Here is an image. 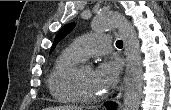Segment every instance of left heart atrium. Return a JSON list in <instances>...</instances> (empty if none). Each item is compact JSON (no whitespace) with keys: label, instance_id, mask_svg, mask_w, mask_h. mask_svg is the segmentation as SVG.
Masks as SVG:
<instances>
[{"label":"left heart atrium","instance_id":"1","mask_svg":"<svg viewBox=\"0 0 171 110\" xmlns=\"http://www.w3.org/2000/svg\"><path fill=\"white\" fill-rule=\"evenodd\" d=\"M120 70V61L112 59L101 63L94 71L95 80L104 92L111 89L116 84Z\"/></svg>","mask_w":171,"mask_h":110}]
</instances>
